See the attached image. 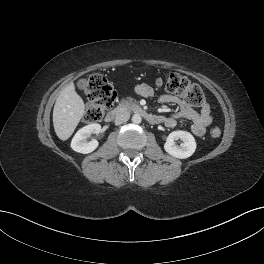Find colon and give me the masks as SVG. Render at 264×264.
Returning a JSON list of instances; mask_svg holds the SVG:
<instances>
[{"label":"colon","instance_id":"5ec220e1","mask_svg":"<svg viewBox=\"0 0 264 264\" xmlns=\"http://www.w3.org/2000/svg\"><path fill=\"white\" fill-rule=\"evenodd\" d=\"M155 84L180 96L189 105H201L204 101L202 88L177 73L158 77ZM85 95L88 101L84 120L87 123L100 121L116 100V92L113 86L101 74H94L89 78L85 87ZM220 134L221 130L218 126L212 127L209 132L210 137L214 139L218 138Z\"/></svg>","mask_w":264,"mask_h":264}]
</instances>
